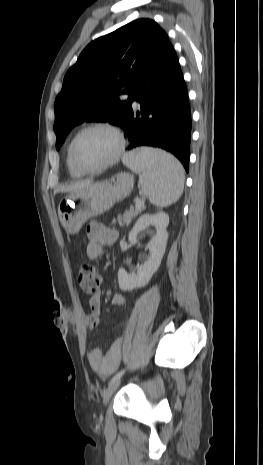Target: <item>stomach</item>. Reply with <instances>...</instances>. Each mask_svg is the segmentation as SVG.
I'll return each instance as SVG.
<instances>
[{"label":"stomach","instance_id":"obj_1","mask_svg":"<svg viewBox=\"0 0 263 465\" xmlns=\"http://www.w3.org/2000/svg\"><path fill=\"white\" fill-rule=\"evenodd\" d=\"M134 185L133 176L121 172L106 181L70 192L58 206L62 226L70 233H77L83 224L106 211L130 195Z\"/></svg>","mask_w":263,"mask_h":465}]
</instances>
